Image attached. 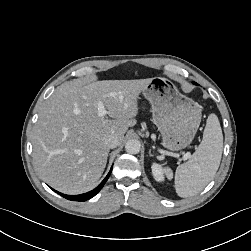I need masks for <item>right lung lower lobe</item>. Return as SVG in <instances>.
Segmentation results:
<instances>
[{"label":"right lung lower lobe","instance_id":"1","mask_svg":"<svg viewBox=\"0 0 251 251\" xmlns=\"http://www.w3.org/2000/svg\"><path fill=\"white\" fill-rule=\"evenodd\" d=\"M111 174V170L108 173V175L105 177V179L100 183V185L95 188L94 190L84 193V194H80V195H66V194H62L59 193L58 191H55L56 193L60 194L61 196H63L64 198L71 200V201H86L92 197H94L104 186L105 182L108 180L109 176ZM53 190V189H52Z\"/></svg>","mask_w":251,"mask_h":251}]
</instances>
